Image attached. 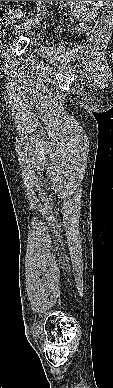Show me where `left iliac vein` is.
<instances>
[{
	"instance_id": "left-iliac-vein-1",
	"label": "left iliac vein",
	"mask_w": 113,
	"mask_h": 388,
	"mask_svg": "<svg viewBox=\"0 0 113 388\" xmlns=\"http://www.w3.org/2000/svg\"><path fill=\"white\" fill-rule=\"evenodd\" d=\"M47 3L48 1H43L42 6L38 9L37 13L34 16L27 18L23 24L16 26L14 28V34L29 30L33 26L37 25L39 21L46 15Z\"/></svg>"
}]
</instances>
